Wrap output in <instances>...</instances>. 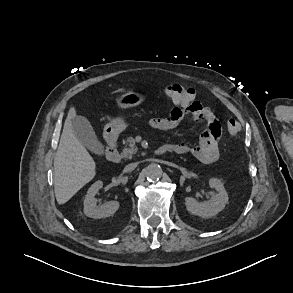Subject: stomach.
I'll list each match as a JSON object with an SVG mask.
<instances>
[{
  "label": "stomach",
  "mask_w": 293,
  "mask_h": 293,
  "mask_svg": "<svg viewBox=\"0 0 293 293\" xmlns=\"http://www.w3.org/2000/svg\"><path fill=\"white\" fill-rule=\"evenodd\" d=\"M145 101V97L136 92H127L121 95L117 101V107L120 109H128L136 107ZM127 127V124L122 116L114 118L110 123L105 126V133L112 137L117 136L123 132Z\"/></svg>",
  "instance_id": "0dacf381"
}]
</instances>
